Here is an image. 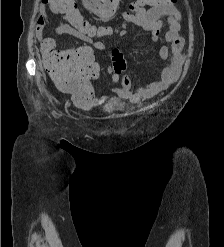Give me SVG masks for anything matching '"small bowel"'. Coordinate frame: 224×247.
<instances>
[{
	"label": "small bowel",
	"instance_id": "c3829d8e",
	"mask_svg": "<svg viewBox=\"0 0 224 247\" xmlns=\"http://www.w3.org/2000/svg\"><path fill=\"white\" fill-rule=\"evenodd\" d=\"M59 0H40L39 15L37 18V34L40 39L41 52L47 58L54 48L53 40L46 37L45 33L51 25L49 11L61 15L58 5ZM85 7L92 13L101 18H109L116 11L119 0H82ZM129 22L136 24L152 35V39L157 41L160 37L162 25L167 23L169 28L165 33L166 44L160 49V57L168 62L160 72L157 80L135 88L131 77L119 74H112L114 82H121V86L115 90V95L120 98L129 99L132 102H138L141 99L153 98L168 90L179 78L184 63L185 41L180 34L181 31V13L174 5L167 7H151L149 9L141 8L138 11L127 15ZM118 35L126 34V25L117 23L114 27ZM58 35L69 34L78 37L99 51L105 50V44L102 41L81 35L74 27L66 22H61L56 27ZM109 96L97 99L96 104H101L108 100Z\"/></svg>",
	"mask_w": 224,
	"mask_h": 247
}]
</instances>
